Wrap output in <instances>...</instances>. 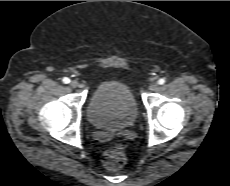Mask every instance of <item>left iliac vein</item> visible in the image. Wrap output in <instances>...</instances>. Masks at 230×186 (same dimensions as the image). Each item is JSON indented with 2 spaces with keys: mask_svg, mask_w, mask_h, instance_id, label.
<instances>
[{
  "mask_svg": "<svg viewBox=\"0 0 230 186\" xmlns=\"http://www.w3.org/2000/svg\"><path fill=\"white\" fill-rule=\"evenodd\" d=\"M158 88V83L157 82H152L149 86V90L155 91Z\"/></svg>",
  "mask_w": 230,
  "mask_h": 186,
  "instance_id": "1",
  "label": "left iliac vein"
}]
</instances>
